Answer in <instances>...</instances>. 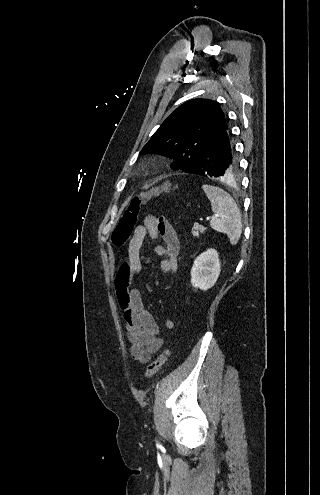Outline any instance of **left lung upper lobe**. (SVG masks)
I'll list each match as a JSON object with an SVG mask.
<instances>
[{"mask_svg":"<svg viewBox=\"0 0 320 495\" xmlns=\"http://www.w3.org/2000/svg\"><path fill=\"white\" fill-rule=\"evenodd\" d=\"M227 128L218 104L209 99H193L179 106L152 135L140 153L175 159L171 167L192 166L207 147Z\"/></svg>","mask_w":320,"mask_h":495,"instance_id":"5c2ea615","label":"left lung upper lobe"}]
</instances>
